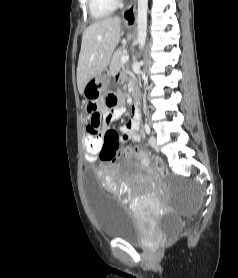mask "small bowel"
Masks as SVG:
<instances>
[{
    "label": "small bowel",
    "mask_w": 238,
    "mask_h": 278,
    "mask_svg": "<svg viewBox=\"0 0 238 278\" xmlns=\"http://www.w3.org/2000/svg\"><path fill=\"white\" fill-rule=\"evenodd\" d=\"M125 113V106L119 100H104L103 104L95 107L92 111L85 137H104L105 144L109 142H138L140 140V112L133 110L131 119L123 125L118 134L109 127V123L119 119ZM140 165L147 167L148 159L145 155H140L138 159Z\"/></svg>",
    "instance_id": "obj_1"
}]
</instances>
